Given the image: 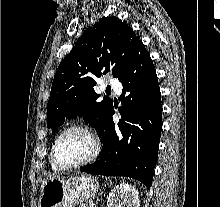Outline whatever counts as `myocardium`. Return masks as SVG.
Instances as JSON below:
<instances>
[{"label": "myocardium", "mask_w": 220, "mask_h": 207, "mask_svg": "<svg viewBox=\"0 0 220 207\" xmlns=\"http://www.w3.org/2000/svg\"><path fill=\"white\" fill-rule=\"evenodd\" d=\"M70 131H80L85 133L92 141L93 143V149L91 154L84 160L78 162V163H74V164H70V165H62L59 163L57 156H56V147L58 144V141L60 140V138L70 132ZM101 141L99 139V137L97 136V134L91 130L89 127L82 125V124H73L70 126L65 127L64 129H62L57 136L55 137L52 147H51V160L52 162L55 164V166L59 169V170H72V169H76V168H80L83 167L91 162H93L99 155L100 151H101Z\"/></svg>", "instance_id": "obj_1"}]
</instances>
